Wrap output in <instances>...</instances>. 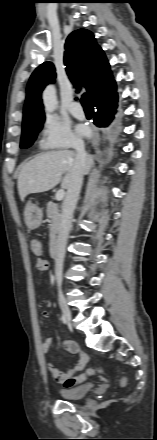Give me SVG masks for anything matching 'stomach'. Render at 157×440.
<instances>
[{
	"mask_svg": "<svg viewBox=\"0 0 157 440\" xmlns=\"http://www.w3.org/2000/svg\"><path fill=\"white\" fill-rule=\"evenodd\" d=\"M43 212L36 204L28 202L24 209V220L28 228L36 229L42 222Z\"/></svg>",
	"mask_w": 157,
	"mask_h": 440,
	"instance_id": "obj_1",
	"label": "stomach"
}]
</instances>
